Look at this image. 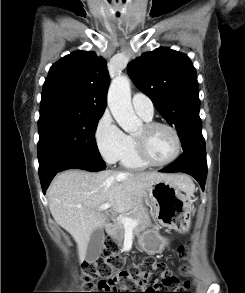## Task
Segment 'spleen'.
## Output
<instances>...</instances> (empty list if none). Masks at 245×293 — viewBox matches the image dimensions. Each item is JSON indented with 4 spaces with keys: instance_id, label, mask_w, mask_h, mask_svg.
Returning <instances> with one entry per match:
<instances>
[{
    "instance_id": "1",
    "label": "spleen",
    "mask_w": 245,
    "mask_h": 293,
    "mask_svg": "<svg viewBox=\"0 0 245 293\" xmlns=\"http://www.w3.org/2000/svg\"><path fill=\"white\" fill-rule=\"evenodd\" d=\"M190 188H191V187H190ZM193 189H194V187H193V188H191V190H190V191L192 192V191H193Z\"/></svg>"
}]
</instances>
